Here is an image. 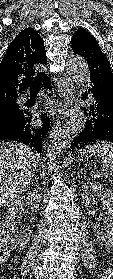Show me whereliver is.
<instances>
[{
    "label": "liver",
    "instance_id": "liver-1",
    "mask_svg": "<svg viewBox=\"0 0 113 279\" xmlns=\"http://www.w3.org/2000/svg\"><path fill=\"white\" fill-rule=\"evenodd\" d=\"M38 162L39 156L24 144L0 142V208L25 192Z\"/></svg>",
    "mask_w": 113,
    "mask_h": 279
}]
</instances>
